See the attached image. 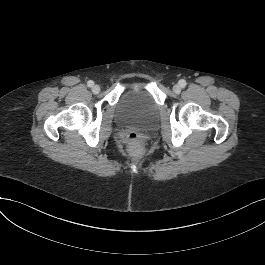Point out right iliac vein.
<instances>
[{
    "label": "right iliac vein",
    "mask_w": 265,
    "mask_h": 265,
    "mask_svg": "<svg viewBox=\"0 0 265 265\" xmlns=\"http://www.w3.org/2000/svg\"><path fill=\"white\" fill-rule=\"evenodd\" d=\"M92 92H93L94 94H98V93L100 92V87H99V85H94V86L92 87Z\"/></svg>",
    "instance_id": "right-iliac-vein-1"
}]
</instances>
